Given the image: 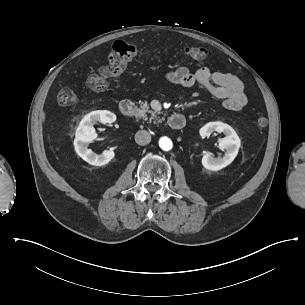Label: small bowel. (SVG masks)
<instances>
[{"mask_svg":"<svg viewBox=\"0 0 305 305\" xmlns=\"http://www.w3.org/2000/svg\"><path fill=\"white\" fill-rule=\"evenodd\" d=\"M114 61L112 56L107 58ZM166 82L184 87L199 84L208 90L215 98L222 100L223 107L230 111H239L247 104L243 82L234 75L222 72H212L203 66L196 70L179 67L164 74Z\"/></svg>","mask_w":305,"mask_h":305,"instance_id":"c3829d8e","label":"small bowel"}]
</instances>
